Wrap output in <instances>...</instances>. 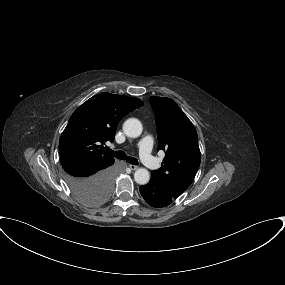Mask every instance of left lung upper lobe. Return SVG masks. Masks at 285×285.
I'll use <instances>...</instances> for the list:
<instances>
[{
  "label": "left lung upper lobe",
  "mask_w": 285,
  "mask_h": 285,
  "mask_svg": "<svg viewBox=\"0 0 285 285\" xmlns=\"http://www.w3.org/2000/svg\"><path fill=\"white\" fill-rule=\"evenodd\" d=\"M156 117L158 150L165 151L161 168L152 171L178 197L192 183L201 155L196 130L170 98L150 97Z\"/></svg>",
  "instance_id": "5c2ea615"
}]
</instances>
